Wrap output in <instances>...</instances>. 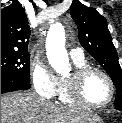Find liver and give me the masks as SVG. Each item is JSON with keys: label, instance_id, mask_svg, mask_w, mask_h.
Returning a JSON list of instances; mask_svg holds the SVG:
<instances>
[{"label": "liver", "instance_id": "obj_1", "mask_svg": "<svg viewBox=\"0 0 122 123\" xmlns=\"http://www.w3.org/2000/svg\"><path fill=\"white\" fill-rule=\"evenodd\" d=\"M90 112L56 105L34 92L1 96V123H81Z\"/></svg>", "mask_w": 122, "mask_h": 123}]
</instances>
